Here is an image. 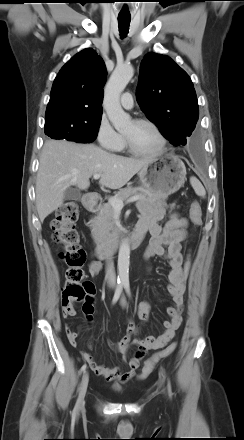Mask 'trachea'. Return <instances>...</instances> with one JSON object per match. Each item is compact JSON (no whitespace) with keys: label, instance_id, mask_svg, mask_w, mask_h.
<instances>
[{"label":"trachea","instance_id":"trachea-1","mask_svg":"<svg viewBox=\"0 0 244 440\" xmlns=\"http://www.w3.org/2000/svg\"><path fill=\"white\" fill-rule=\"evenodd\" d=\"M131 18H118V27L122 38L126 37L129 32Z\"/></svg>","mask_w":244,"mask_h":440}]
</instances>
